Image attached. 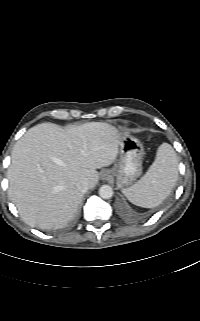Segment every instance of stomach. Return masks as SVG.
<instances>
[{"mask_svg":"<svg viewBox=\"0 0 200 321\" xmlns=\"http://www.w3.org/2000/svg\"><path fill=\"white\" fill-rule=\"evenodd\" d=\"M119 159L107 172L116 179L118 188L132 185L142 174L144 148L142 143L129 134L121 136Z\"/></svg>","mask_w":200,"mask_h":321,"instance_id":"stomach-1","label":"stomach"}]
</instances>
